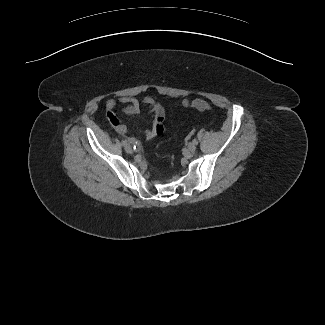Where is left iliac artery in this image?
Here are the masks:
<instances>
[{
	"mask_svg": "<svg viewBox=\"0 0 325 325\" xmlns=\"http://www.w3.org/2000/svg\"><path fill=\"white\" fill-rule=\"evenodd\" d=\"M193 143L195 144V145H197L198 144V142H197V140H193Z\"/></svg>",
	"mask_w": 325,
	"mask_h": 325,
	"instance_id": "1",
	"label": "left iliac artery"
}]
</instances>
